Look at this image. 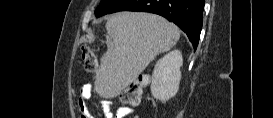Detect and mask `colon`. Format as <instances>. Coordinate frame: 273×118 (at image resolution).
Wrapping results in <instances>:
<instances>
[{"label":"colon","mask_w":273,"mask_h":118,"mask_svg":"<svg viewBox=\"0 0 273 118\" xmlns=\"http://www.w3.org/2000/svg\"><path fill=\"white\" fill-rule=\"evenodd\" d=\"M81 56L84 62L86 72L92 73L97 67V60L93 50L88 45H82ZM145 86L141 80H135L128 88L120 95V100L125 105H135L141 100L142 90Z\"/></svg>","instance_id":"5ec220e1"}]
</instances>
